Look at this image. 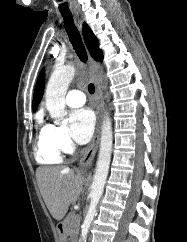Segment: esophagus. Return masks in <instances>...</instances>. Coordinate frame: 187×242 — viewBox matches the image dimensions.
Instances as JSON below:
<instances>
[{
  "label": "esophagus",
  "instance_id": "esophagus-1",
  "mask_svg": "<svg viewBox=\"0 0 187 242\" xmlns=\"http://www.w3.org/2000/svg\"><path fill=\"white\" fill-rule=\"evenodd\" d=\"M90 69L93 75L95 85H96V97L98 100L97 107V126L95 135L89 147L85 150L83 157L80 160V170L88 171L92 165L93 159L98 149L99 139H100V130H101V119L104 110V97L102 91V71L100 65L90 59Z\"/></svg>",
  "mask_w": 187,
  "mask_h": 242
}]
</instances>
